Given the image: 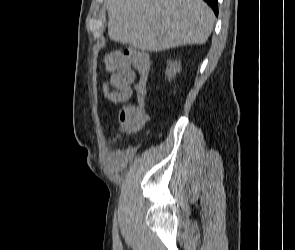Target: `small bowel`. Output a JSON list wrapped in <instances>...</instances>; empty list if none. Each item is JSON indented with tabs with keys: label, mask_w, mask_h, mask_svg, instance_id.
Segmentation results:
<instances>
[{
	"label": "small bowel",
	"mask_w": 295,
	"mask_h": 250,
	"mask_svg": "<svg viewBox=\"0 0 295 250\" xmlns=\"http://www.w3.org/2000/svg\"><path fill=\"white\" fill-rule=\"evenodd\" d=\"M151 67L148 54L132 52L113 67V73L108 82L103 84V93L110 101L122 103L132 96L131 84L137 77L145 80Z\"/></svg>",
	"instance_id": "1"
}]
</instances>
